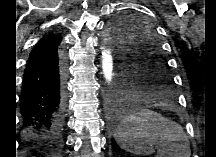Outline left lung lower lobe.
Segmentation results:
<instances>
[{"label":"left lung lower lobe","mask_w":216,"mask_h":157,"mask_svg":"<svg viewBox=\"0 0 216 157\" xmlns=\"http://www.w3.org/2000/svg\"><path fill=\"white\" fill-rule=\"evenodd\" d=\"M122 77L123 76L121 75V80H120L117 96H114L112 98V101L110 104V116L114 122L119 121L123 118V111L121 109L118 99L120 97L124 98L132 94V92L129 89V85L127 84L125 80H123Z\"/></svg>","instance_id":"left-lung-lower-lobe-1"}]
</instances>
